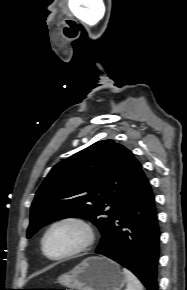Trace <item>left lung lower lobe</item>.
<instances>
[{"mask_svg":"<svg viewBox=\"0 0 187 290\" xmlns=\"http://www.w3.org/2000/svg\"><path fill=\"white\" fill-rule=\"evenodd\" d=\"M159 238L155 199L145 177L121 202L95 253L132 271L147 290H158Z\"/></svg>","mask_w":187,"mask_h":290,"instance_id":"1","label":"left lung lower lobe"}]
</instances>
